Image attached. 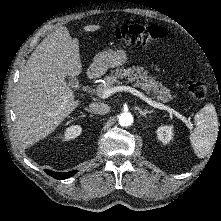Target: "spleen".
Here are the masks:
<instances>
[{
  "label": "spleen",
  "instance_id": "spleen-1",
  "mask_svg": "<svg viewBox=\"0 0 221 221\" xmlns=\"http://www.w3.org/2000/svg\"><path fill=\"white\" fill-rule=\"evenodd\" d=\"M195 129L189 135L196 155L206 157L212 150L218 134V117L212 104L205 105L194 117Z\"/></svg>",
  "mask_w": 221,
  "mask_h": 221
}]
</instances>
